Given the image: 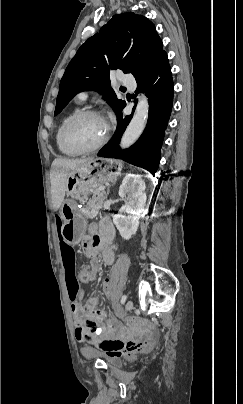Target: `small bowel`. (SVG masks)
Here are the masks:
<instances>
[{"label": "small bowel", "instance_id": "c3829d8e", "mask_svg": "<svg viewBox=\"0 0 243 404\" xmlns=\"http://www.w3.org/2000/svg\"><path fill=\"white\" fill-rule=\"evenodd\" d=\"M57 227L58 229L62 227L60 219L57 220ZM116 249L115 230L109 220H104L98 231H94L92 236H87L83 240L84 253L90 257L91 265L95 269L99 262L98 254L102 256L105 264L111 265ZM60 251L68 293L72 301L75 336L80 342L97 343L102 334H108L113 330L112 317L108 312L96 309V299H91L87 307L81 304L79 297L82 290L75 276V252L63 239L60 241Z\"/></svg>", "mask_w": 243, "mask_h": 404}]
</instances>
